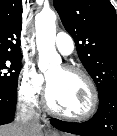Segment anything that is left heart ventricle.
Listing matches in <instances>:
<instances>
[{
    "instance_id": "obj_1",
    "label": "left heart ventricle",
    "mask_w": 117,
    "mask_h": 136,
    "mask_svg": "<svg viewBox=\"0 0 117 136\" xmlns=\"http://www.w3.org/2000/svg\"><path fill=\"white\" fill-rule=\"evenodd\" d=\"M47 78L49 101L54 109L70 115H80L89 109L91 94L82 77L59 67L51 71Z\"/></svg>"
}]
</instances>
